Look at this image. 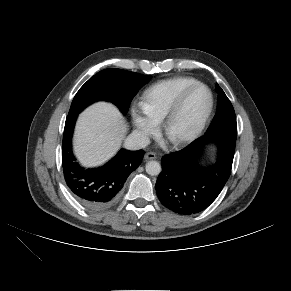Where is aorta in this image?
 Returning a JSON list of instances; mask_svg holds the SVG:
<instances>
[{"label":"aorta","instance_id":"obj_1","mask_svg":"<svg viewBox=\"0 0 291 291\" xmlns=\"http://www.w3.org/2000/svg\"><path fill=\"white\" fill-rule=\"evenodd\" d=\"M146 172L151 176H156L161 172V165L157 161H149L146 163Z\"/></svg>","mask_w":291,"mask_h":291}]
</instances>
